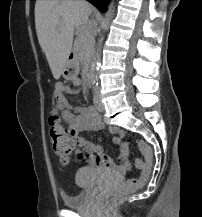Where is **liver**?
I'll list each match as a JSON object with an SVG mask.
<instances>
[{
    "mask_svg": "<svg viewBox=\"0 0 202 217\" xmlns=\"http://www.w3.org/2000/svg\"><path fill=\"white\" fill-rule=\"evenodd\" d=\"M92 7L84 0H37L35 27L51 72L58 79L71 53L74 29L88 26Z\"/></svg>",
    "mask_w": 202,
    "mask_h": 217,
    "instance_id": "obj_1",
    "label": "liver"
}]
</instances>
